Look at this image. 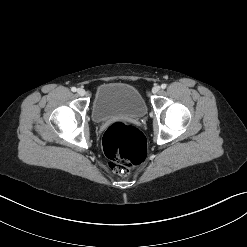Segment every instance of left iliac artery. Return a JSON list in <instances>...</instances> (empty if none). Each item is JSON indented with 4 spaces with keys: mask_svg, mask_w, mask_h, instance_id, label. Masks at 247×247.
<instances>
[{
    "mask_svg": "<svg viewBox=\"0 0 247 247\" xmlns=\"http://www.w3.org/2000/svg\"><path fill=\"white\" fill-rule=\"evenodd\" d=\"M166 87H167L166 84H162V85H161V88H162V89H165Z\"/></svg>",
    "mask_w": 247,
    "mask_h": 247,
    "instance_id": "1",
    "label": "left iliac artery"
}]
</instances>
